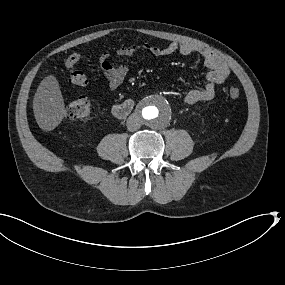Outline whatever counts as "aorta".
Returning <instances> with one entry per match:
<instances>
[{
    "label": "aorta",
    "instance_id": "762f6f07",
    "mask_svg": "<svg viewBox=\"0 0 285 285\" xmlns=\"http://www.w3.org/2000/svg\"><path fill=\"white\" fill-rule=\"evenodd\" d=\"M140 118L143 124L152 130H161L167 127L173 118V109L170 103L158 96L148 97L140 107Z\"/></svg>",
    "mask_w": 285,
    "mask_h": 285
}]
</instances>
